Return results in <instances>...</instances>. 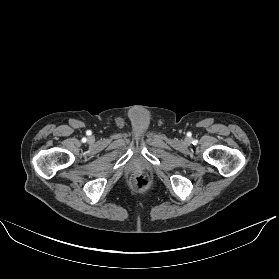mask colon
Returning <instances> with one entry per match:
<instances>
[{"instance_id":"obj_1","label":"colon","mask_w":279,"mask_h":279,"mask_svg":"<svg viewBox=\"0 0 279 279\" xmlns=\"http://www.w3.org/2000/svg\"><path fill=\"white\" fill-rule=\"evenodd\" d=\"M131 183L137 190H145L150 186V179L145 174H139L131 179Z\"/></svg>"}]
</instances>
